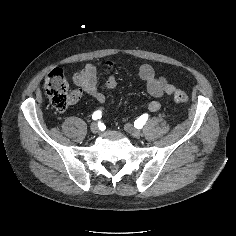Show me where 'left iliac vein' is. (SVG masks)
<instances>
[{
  "label": "left iliac vein",
  "instance_id": "1",
  "mask_svg": "<svg viewBox=\"0 0 236 236\" xmlns=\"http://www.w3.org/2000/svg\"><path fill=\"white\" fill-rule=\"evenodd\" d=\"M125 131L133 136L134 138H140L142 136V132L136 128H134L131 124L127 123L124 126Z\"/></svg>",
  "mask_w": 236,
  "mask_h": 236
}]
</instances>
